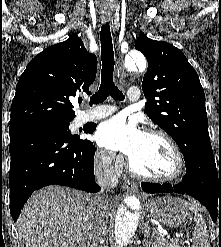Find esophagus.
I'll list each match as a JSON object with an SVG mask.
<instances>
[{
  "instance_id": "1",
  "label": "esophagus",
  "mask_w": 221,
  "mask_h": 247,
  "mask_svg": "<svg viewBox=\"0 0 221 247\" xmlns=\"http://www.w3.org/2000/svg\"><path fill=\"white\" fill-rule=\"evenodd\" d=\"M107 20H108V17H102L103 23L107 22ZM123 188L126 189L127 191H137L138 185L133 181H126L123 185Z\"/></svg>"
}]
</instances>
